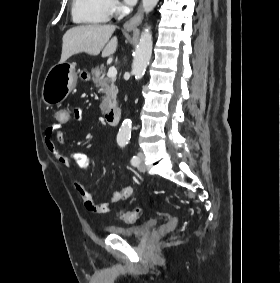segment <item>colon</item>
<instances>
[{"label": "colon", "instance_id": "1", "mask_svg": "<svg viewBox=\"0 0 280 283\" xmlns=\"http://www.w3.org/2000/svg\"><path fill=\"white\" fill-rule=\"evenodd\" d=\"M54 115L57 125H70L71 119H73V114H69V108H56ZM121 218L126 223L133 224L139 219V212L127 211L122 213Z\"/></svg>", "mask_w": 280, "mask_h": 283}]
</instances>
